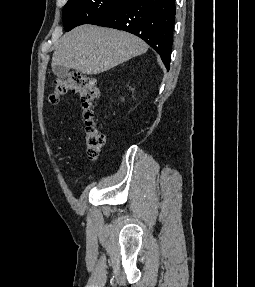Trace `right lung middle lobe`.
I'll use <instances>...</instances> for the list:
<instances>
[{"label": "right lung middle lobe", "mask_w": 255, "mask_h": 287, "mask_svg": "<svg viewBox=\"0 0 255 287\" xmlns=\"http://www.w3.org/2000/svg\"><path fill=\"white\" fill-rule=\"evenodd\" d=\"M127 0H68L63 8V25L68 32L78 25L90 23L101 14Z\"/></svg>", "instance_id": "obj_1"}]
</instances>
